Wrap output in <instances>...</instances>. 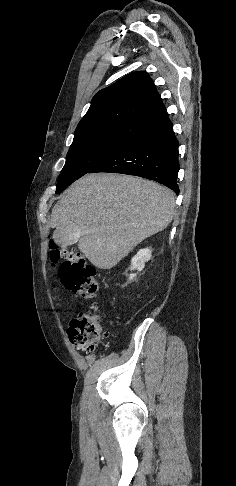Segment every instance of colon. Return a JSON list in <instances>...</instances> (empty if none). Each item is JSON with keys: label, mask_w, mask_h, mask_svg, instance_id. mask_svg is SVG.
<instances>
[{"label": "colon", "mask_w": 236, "mask_h": 486, "mask_svg": "<svg viewBox=\"0 0 236 486\" xmlns=\"http://www.w3.org/2000/svg\"><path fill=\"white\" fill-rule=\"evenodd\" d=\"M50 261L52 265L60 263L59 277L68 290L83 299L95 297L98 289L96 271L79 251L51 245ZM103 334L101 318L95 307L80 311L68 328L70 342L84 352L93 351Z\"/></svg>", "instance_id": "colon-1"}]
</instances>
